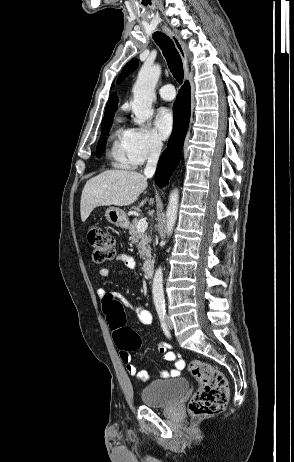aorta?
<instances>
[{
    "mask_svg": "<svg viewBox=\"0 0 294 462\" xmlns=\"http://www.w3.org/2000/svg\"><path fill=\"white\" fill-rule=\"evenodd\" d=\"M161 74V67L155 65H143L139 71L136 83L133 86L132 111L135 115L134 122L144 126V123L153 115L152 102L155 98L154 89ZM179 192L174 189L169 195L166 211V233L172 234L177 219ZM153 302L156 308L165 306L163 289V269L158 267L152 282Z\"/></svg>",
    "mask_w": 294,
    "mask_h": 462,
    "instance_id": "obj_1",
    "label": "aorta"
}]
</instances>
